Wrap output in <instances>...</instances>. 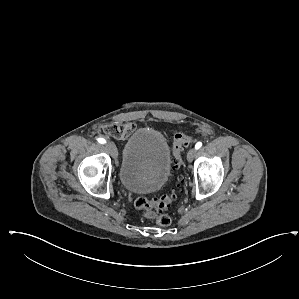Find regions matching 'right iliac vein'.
<instances>
[{"mask_svg":"<svg viewBox=\"0 0 299 299\" xmlns=\"http://www.w3.org/2000/svg\"><path fill=\"white\" fill-rule=\"evenodd\" d=\"M106 147L110 151L111 155L113 156L114 159H117L118 157V152L116 146L112 142H108L106 144Z\"/></svg>","mask_w":299,"mask_h":299,"instance_id":"obj_1","label":"right iliac vein"}]
</instances>
